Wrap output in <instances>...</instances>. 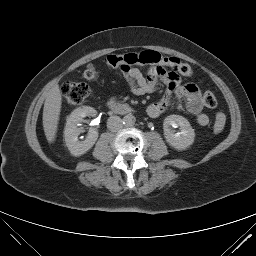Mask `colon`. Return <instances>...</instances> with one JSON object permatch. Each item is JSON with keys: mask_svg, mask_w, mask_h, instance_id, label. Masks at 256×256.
Returning a JSON list of instances; mask_svg holds the SVG:
<instances>
[{"mask_svg": "<svg viewBox=\"0 0 256 256\" xmlns=\"http://www.w3.org/2000/svg\"><path fill=\"white\" fill-rule=\"evenodd\" d=\"M164 58L161 55L152 50L143 51L140 53H126V54H111L105 59L106 64L111 68H122L125 66H135L139 64H158L163 61ZM170 66L183 76H190L192 74V68L180 61L177 58H169L167 60ZM98 76V72L94 64H88L83 73L82 77L85 80H95ZM62 93L67 102L71 105H79L87 100L92 90L85 84L80 82H66L62 86ZM203 104L208 108H215L217 106V99L212 92H205L203 95ZM226 124V116L222 112H218L215 116L214 131L219 133L222 132Z\"/></svg>", "mask_w": 256, "mask_h": 256, "instance_id": "obj_1", "label": "colon"}]
</instances>
